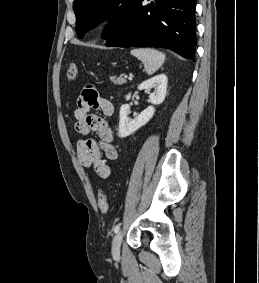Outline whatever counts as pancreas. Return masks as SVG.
<instances>
[{
  "label": "pancreas",
  "mask_w": 259,
  "mask_h": 283,
  "mask_svg": "<svg viewBox=\"0 0 259 283\" xmlns=\"http://www.w3.org/2000/svg\"><path fill=\"white\" fill-rule=\"evenodd\" d=\"M111 81L116 84V85H122L124 83H126V79L123 77V75H120L119 77H116V76H112L111 78Z\"/></svg>",
  "instance_id": "1"
}]
</instances>
